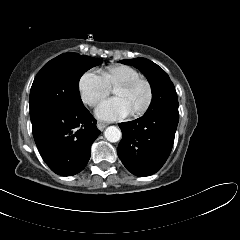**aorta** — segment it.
<instances>
[{
  "label": "aorta",
  "instance_id": "1",
  "mask_svg": "<svg viewBox=\"0 0 240 240\" xmlns=\"http://www.w3.org/2000/svg\"><path fill=\"white\" fill-rule=\"evenodd\" d=\"M105 138L112 143L118 142L121 137L122 133L121 130L116 126H109L104 132Z\"/></svg>",
  "mask_w": 240,
  "mask_h": 240
}]
</instances>
